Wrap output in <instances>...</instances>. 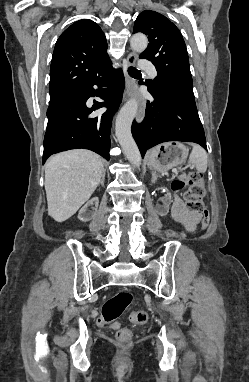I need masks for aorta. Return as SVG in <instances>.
<instances>
[{
    "label": "aorta",
    "mask_w": 249,
    "mask_h": 382,
    "mask_svg": "<svg viewBox=\"0 0 249 382\" xmlns=\"http://www.w3.org/2000/svg\"><path fill=\"white\" fill-rule=\"evenodd\" d=\"M131 48L136 52H143L148 40L144 34L137 33L130 40ZM138 102L135 99L128 101L118 113L115 123V134L128 161L139 167L141 165V154L131 134L132 121L137 113Z\"/></svg>",
    "instance_id": "762f6f07"
}]
</instances>
